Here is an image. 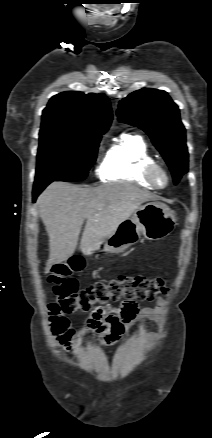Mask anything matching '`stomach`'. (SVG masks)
Returning <instances> with one entry per match:
<instances>
[{"mask_svg":"<svg viewBox=\"0 0 212 438\" xmlns=\"http://www.w3.org/2000/svg\"><path fill=\"white\" fill-rule=\"evenodd\" d=\"M175 213L164 203L151 201L141 205L130 219L123 221L117 230L105 239L103 250L122 253L137 243L141 236L150 241L162 240L176 226Z\"/></svg>","mask_w":212,"mask_h":438,"instance_id":"0dacf381","label":"stomach"}]
</instances>
